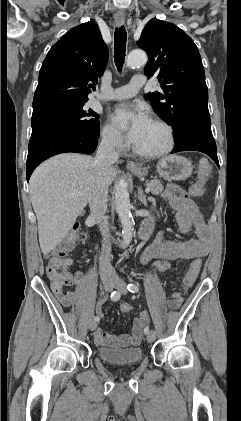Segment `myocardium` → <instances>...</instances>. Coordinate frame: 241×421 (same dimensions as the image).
<instances>
[{"label":"myocardium","instance_id":"f54148a6","mask_svg":"<svg viewBox=\"0 0 241 421\" xmlns=\"http://www.w3.org/2000/svg\"><path fill=\"white\" fill-rule=\"evenodd\" d=\"M150 121L164 129L166 133V143L164 147L156 151H143L137 148L135 145H133L132 149L133 152L140 157L154 159L162 157L172 151L175 145V134L173 127L165 120L154 117L151 118Z\"/></svg>","mask_w":241,"mask_h":421}]
</instances>
